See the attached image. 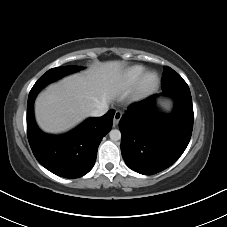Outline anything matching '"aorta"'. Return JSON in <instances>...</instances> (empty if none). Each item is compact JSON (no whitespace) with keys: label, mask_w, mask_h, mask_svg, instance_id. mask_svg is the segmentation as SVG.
Returning a JSON list of instances; mask_svg holds the SVG:
<instances>
[{"label":"aorta","mask_w":227,"mask_h":227,"mask_svg":"<svg viewBox=\"0 0 227 227\" xmlns=\"http://www.w3.org/2000/svg\"><path fill=\"white\" fill-rule=\"evenodd\" d=\"M109 136L112 141H118L121 139V132L117 129H113L109 132Z\"/></svg>","instance_id":"obj_1"}]
</instances>
